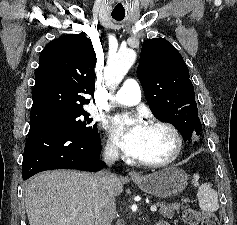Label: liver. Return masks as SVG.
Here are the masks:
<instances>
[{"mask_svg": "<svg viewBox=\"0 0 237 225\" xmlns=\"http://www.w3.org/2000/svg\"><path fill=\"white\" fill-rule=\"evenodd\" d=\"M96 175L73 170H53L33 177L25 187V207L30 225H94L93 191ZM123 190L117 178L113 194Z\"/></svg>", "mask_w": 237, "mask_h": 225, "instance_id": "1", "label": "liver"}]
</instances>
